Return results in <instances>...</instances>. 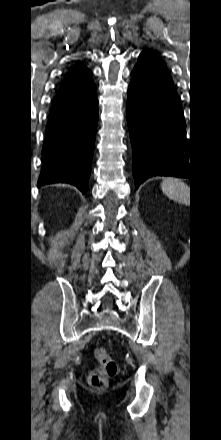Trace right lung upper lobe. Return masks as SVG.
Listing matches in <instances>:
<instances>
[{"label":"right lung upper lobe","mask_w":221,"mask_h":440,"mask_svg":"<svg viewBox=\"0 0 221 440\" xmlns=\"http://www.w3.org/2000/svg\"><path fill=\"white\" fill-rule=\"evenodd\" d=\"M91 78V71L83 65L73 66L65 76L61 86H70Z\"/></svg>","instance_id":"cb5924a9"}]
</instances>
